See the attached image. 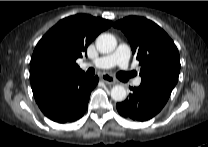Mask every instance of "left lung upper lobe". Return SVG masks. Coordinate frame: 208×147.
Instances as JSON below:
<instances>
[{
  "label": "left lung upper lobe",
  "instance_id": "1",
  "mask_svg": "<svg viewBox=\"0 0 208 147\" xmlns=\"http://www.w3.org/2000/svg\"><path fill=\"white\" fill-rule=\"evenodd\" d=\"M127 36L133 55L141 64V84H150L172 92L180 72L177 47L157 24L143 17L129 16L117 21Z\"/></svg>",
  "mask_w": 208,
  "mask_h": 147
}]
</instances>
